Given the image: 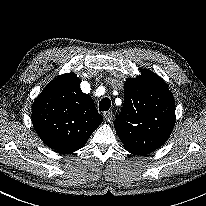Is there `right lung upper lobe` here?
I'll return each mask as SVG.
<instances>
[{
	"label": "right lung upper lobe",
	"mask_w": 206,
	"mask_h": 206,
	"mask_svg": "<svg viewBox=\"0 0 206 206\" xmlns=\"http://www.w3.org/2000/svg\"><path fill=\"white\" fill-rule=\"evenodd\" d=\"M102 121L93 100L81 91L80 80L74 73L51 81L32 108V122L38 136L61 153L81 149Z\"/></svg>",
	"instance_id": "cb5924a9"
}]
</instances>
